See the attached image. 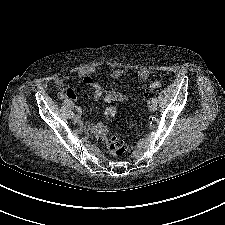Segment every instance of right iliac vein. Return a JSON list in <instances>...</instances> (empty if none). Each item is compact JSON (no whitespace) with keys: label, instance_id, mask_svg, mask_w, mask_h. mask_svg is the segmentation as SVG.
<instances>
[{"label":"right iliac vein","instance_id":"1","mask_svg":"<svg viewBox=\"0 0 225 225\" xmlns=\"http://www.w3.org/2000/svg\"><path fill=\"white\" fill-rule=\"evenodd\" d=\"M73 121H74L75 123H79V122H80V117H79L78 115L74 116V117H73Z\"/></svg>","mask_w":225,"mask_h":225}]
</instances>
